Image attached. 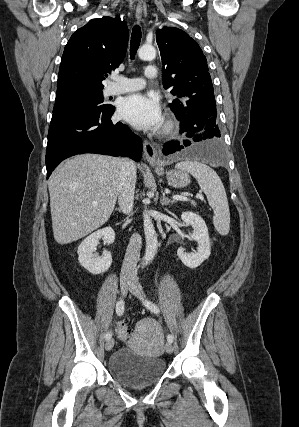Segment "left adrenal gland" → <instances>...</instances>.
<instances>
[{
	"label": "left adrenal gland",
	"instance_id": "a2214340",
	"mask_svg": "<svg viewBox=\"0 0 299 427\" xmlns=\"http://www.w3.org/2000/svg\"><path fill=\"white\" fill-rule=\"evenodd\" d=\"M160 203H161L162 205H169V204H173V203H174V201H173V200H171V199H169V198H167V197H165V194L163 193V196H162V198H161V200H160Z\"/></svg>",
	"mask_w": 299,
	"mask_h": 427
}]
</instances>
